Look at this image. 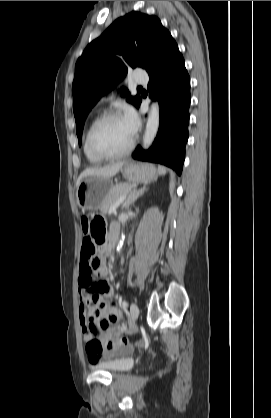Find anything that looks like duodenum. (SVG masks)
Instances as JSON below:
<instances>
[{
	"mask_svg": "<svg viewBox=\"0 0 271 418\" xmlns=\"http://www.w3.org/2000/svg\"><path fill=\"white\" fill-rule=\"evenodd\" d=\"M118 240V230L115 229L111 232V238L109 241V247L112 248Z\"/></svg>",
	"mask_w": 271,
	"mask_h": 418,
	"instance_id": "obj_1",
	"label": "duodenum"
}]
</instances>
